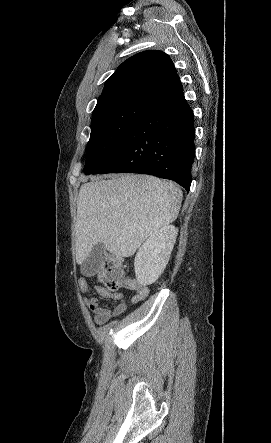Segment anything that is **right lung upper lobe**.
I'll use <instances>...</instances> for the list:
<instances>
[{
  "label": "right lung upper lobe",
  "mask_w": 271,
  "mask_h": 443,
  "mask_svg": "<svg viewBox=\"0 0 271 443\" xmlns=\"http://www.w3.org/2000/svg\"><path fill=\"white\" fill-rule=\"evenodd\" d=\"M182 93L170 57L162 51L148 50L130 57L117 68L105 82L96 107L126 99L154 104Z\"/></svg>",
  "instance_id": "1"
}]
</instances>
